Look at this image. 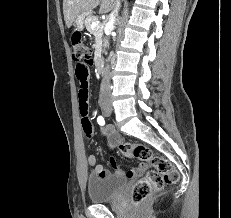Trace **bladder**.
Segmentation results:
<instances>
[{
  "instance_id": "1",
  "label": "bladder",
  "mask_w": 231,
  "mask_h": 218,
  "mask_svg": "<svg viewBox=\"0 0 231 218\" xmlns=\"http://www.w3.org/2000/svg\"><path fill=\"white\" fill-rule=\"evenodd\" d=\"M126 182V179L118 176L90 175L87 181L89 200L92 203L111 201L117 198Z\"/></svg>"
}]
</instances>
